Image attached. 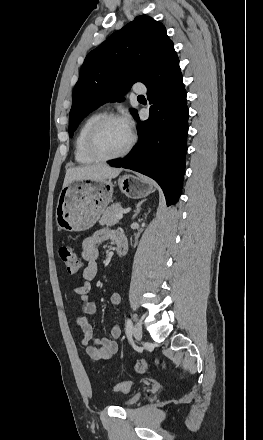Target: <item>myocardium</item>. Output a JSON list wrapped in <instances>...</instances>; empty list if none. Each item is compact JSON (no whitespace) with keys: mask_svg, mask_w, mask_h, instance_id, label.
Listing matches in <instances>:
<instances>
[{"mask_svg":"<svg viewBox=\"0 0 263 440\" xmlns=\"http://www.w3.org/2000/svg\"><path fill=\"white\" fill-rule=\"evenodd\" d=\"M111 121H120L125 123L129 131V139L126 145L120 151L114 154H104L98 148V144H97L98 134L102 129V127ZM135 141H136V136L127 119L119 114L109 113L102 115L99 119H97L93 123V125L89 129L86 137V150L88 154L97 161H110L127 155L133 148Z\"/></svg>","mask_w":263,"mask_h":440,"instance_id":"1","label":"myocardium"}]
</instances>
